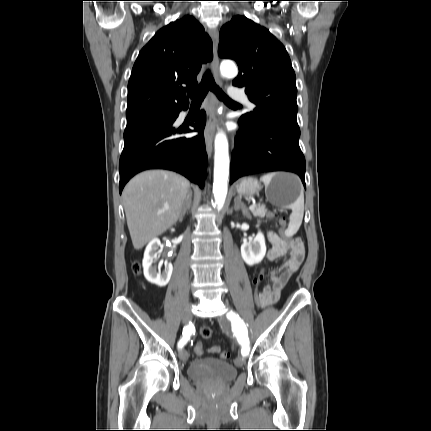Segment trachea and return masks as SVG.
<instances>
[{
  "instance_id": "1",
  "label": "trachea",
  "mask_w": 431,
  "mask_h": 431,
  "mask_svg": "<svg viewBox=\"0 0 431 431\" xmlns=\"http://www.w3.org/2000/svg\"><path fill=\"white\" fill-rule=\"evenodd\" d=\"M214 92L219 99H221L226 104H232L240 106L238 103L231 100L223 91L216 85L214 78L209 70H207L201 80V83L197 87V89L191 93H189L190 99H192L191 104L197 105L201 104L206 97L208 91Z\"/></svg>"
}]
</instances>
